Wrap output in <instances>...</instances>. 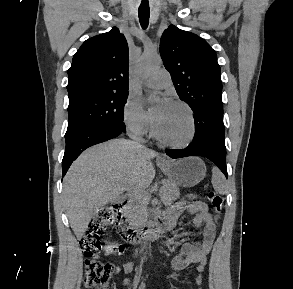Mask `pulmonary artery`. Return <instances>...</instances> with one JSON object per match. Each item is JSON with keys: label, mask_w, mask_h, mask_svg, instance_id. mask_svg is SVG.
<instances>
[{"label": "pulmonary artery", "mask_w": 293, "mask_h": 289, "mask_svg": "<svg viewBox=\"0 0 293 289\" xmlns=\"http://www.w3.org/2000/svg\"><path fill=\"white\" fill-rule=\"evenodd\" d=\"M171 84V77L167 70H156L147 80L146 85L152 88H164Z\"/></svg>", "instance_id": "pulmonary-artery-1"}]
</instances>
